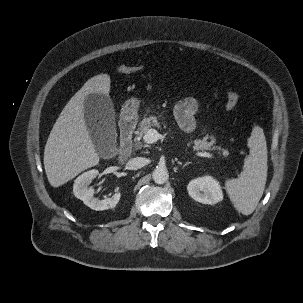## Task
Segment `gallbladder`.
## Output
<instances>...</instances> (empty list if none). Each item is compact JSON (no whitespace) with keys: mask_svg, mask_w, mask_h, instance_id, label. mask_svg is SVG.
Masks as SVG:
<instances>
[{"mask_svg":"<svg viewBox=\"0 0 303 303\" xmlns=\"http://www.w3.org/2000/svg\"><path fill=\"white\" fill-rule=\"evenodd\" d=\"M85 121L94 147L100 155L113 148L116 140L114 108L110 98L90 94L84 102Z\"/></svg>","mask_w":303,"mask_h":303,"instance_id":"1","label":"gallbladder"}]
</instances>
